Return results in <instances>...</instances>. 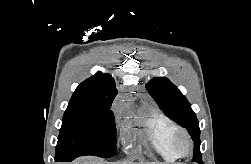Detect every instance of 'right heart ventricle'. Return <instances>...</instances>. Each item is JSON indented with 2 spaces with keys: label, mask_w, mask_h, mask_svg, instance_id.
<instances>
[{
  "label": "right heart ventricle",
  "mask_w": 251,
  "mask_h": 164,
  "mask_svg": "<svg viewBox=\"0 0 251 164\" xmlns=\"http://www.w3.org/2000/svg\"><path fill=\"white\" fill-rule=\"evenodd\" d=\"M140 118L154 151L165 161L174 162L177 157L170 149V141L178 128L176 123L159 109L147 110Z\"/></svg>",
  "instance_id": "right-heart-ventricle-1"
}]
</instances>
